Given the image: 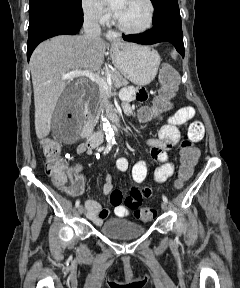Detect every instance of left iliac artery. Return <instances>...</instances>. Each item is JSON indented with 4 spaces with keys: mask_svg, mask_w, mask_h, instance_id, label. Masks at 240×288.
I'll list each match as a JSON object with an SVG mask.
<instances>
[{
    "mask_svg": "<svg viewBox=\"0 0 240 288\" xmlns=\"http://www.w3.org/2000/svg\"><path fill=\"white\" fill-rule=\"evenodd\" d=\"M162 199H163V201H164L165 203H168V199H167V197H166L165 195L162 196Z\"/></svg>",
    "mask_w": 240,
    "mask_h": 288,
    "instance_id": "1",
    "label": "left iliac artery"
}]
</instances>
